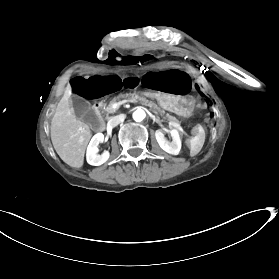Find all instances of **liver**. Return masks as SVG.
I'll return each instance as SVG.
<instances>
[{
    "instance_id": "liver-1",
    "label": "liver",
    "mask_w": 279,
    "mask_h": 279,
    "mask_svg": "<svg viewBox=\"0 0 279 279\" xmlns=\"http://www.w3.org/2000/svg\"><path fill=\"white\" fill-rule=\"evenodd\" d=\"M69 86L59 101L51 120L50 135L53 147L67 165L79 168L92 136L87 124L78 120L71 101Z\"/></svg>"
}]
</instances>
